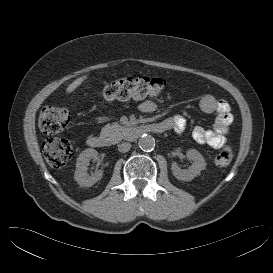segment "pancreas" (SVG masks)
<instances>
[{
    "label": "pancreas",
    "mask_w": 273,
    "mask_h": 273,
    "mask_svg": "<svg viewBox=\"0 0 273 273\" xmlns=\"http://www.w3.org/2000/svg\"><path fill=\"white\" fill-rule=\"evenodd\" d=\"M129 131V128L113 123L105 125L101 129V135L107 137L110 142L116 143L122 140Z\"/></svg>",
    "instance_id": "pancreas-1"
}]
</instances>
